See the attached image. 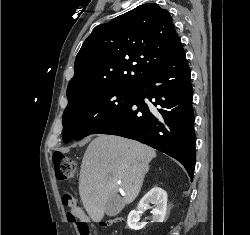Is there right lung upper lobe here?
<instances>
[{
    "mask_svg": "<svg viewBox=\"0 0 250 235\" xmlns=\"http://www.w3.org/2000/svg\"><path fill=\"white\" fill-rule=\"evenodd\" d=\"M179 41L168 11L155 3L98 25L77 54L68 102L96 90L136 88L169 60Z\"/></svg>",
    "mask_w": 250,
    "mask_h": 235,
    "instance_id": "1",
    "label": "right lung upper lobe"
}]
</instances>
